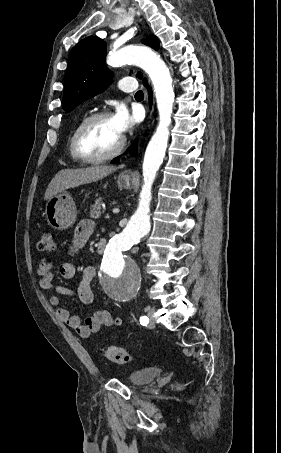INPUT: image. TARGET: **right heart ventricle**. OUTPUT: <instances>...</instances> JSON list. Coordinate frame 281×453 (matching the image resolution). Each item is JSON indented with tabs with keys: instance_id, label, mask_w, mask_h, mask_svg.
<instances>
[{
	"instance_id": "obj_1",
	"label": "right heart ventricle",
	"mask_w": 281,
	"mask_h": 453,
	"mask_svg": "<svg viewBox=\"0 0 281 453\" xmlns=\"http://www.w3.org/2000/svg\"><path fill=\"white\" fill-rule=\"evenodd\" d=\"M82 121H83V120H81V121L74 127V129L71 131L70 136H69V149H70V153H71L73 159L76 160V161H79V159H78V158L76 157V155H75L74 138H75L76 130H77L78 126L80 125V123H81Z\"/></svg>"
}]
</instances>
